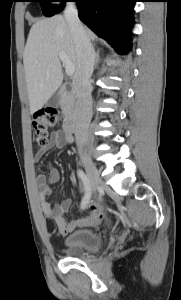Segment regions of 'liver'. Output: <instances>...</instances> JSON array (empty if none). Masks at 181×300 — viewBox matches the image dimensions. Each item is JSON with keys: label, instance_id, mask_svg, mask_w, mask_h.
Wrapping results in <instances>:
<instances>
[{"label": "liver", "instance_id": "liver-1", "mask_svg": "<svg viewBox=\"0 0 181 300\" xmlns=\"http://www.w3.org/2000/svg\"><path fill=\"white\" fill-rule=\"evenodd\" d=\"M89 40L96 36L85 29ZM65 53L77 69L78 58L70 27L62 15L42 19L30 29L23 64L31 113L44 106L63 81L59 53Z\"/></svg>", "mask_w": 181, "mask_h": 300}]
</instances>
